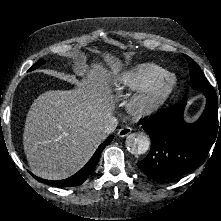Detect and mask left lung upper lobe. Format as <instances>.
<instances>
[{
    "label": "left lung upper lobe",
    "instance_id": "5c2ea615",
    "mask_svg": "<svg viewBox=\"0 0 221 221\" xmlns=\"http://www.w3.org/2000/svg\"><path fill=\"white\" fill-rule=\"evenodd\" d=\"M184 57L189 62L191 76L190 84L192 88L202 91L213 89V87L209 84V82L203 75L200 67L190 57L186 55H184Z\"/></svg>",
    "mask_w": 221,
    "mask_h": 221
}]
</instances>
